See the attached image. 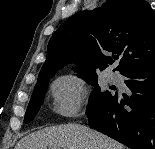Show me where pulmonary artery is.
Wrapping results in <instances>:
<instances>
[{"label": "pulmonary artery", "instance_id": "1", "mask_svg": "<svg viewBox=\"0 0 155 149\" xmlns=\"http://www.w3.org/2000/svg\"><path fill=\"white\" fill-rule=\"evenodd\" d=\"M109 78L112 82H118L119 81V75L117 73H111L109 75Z\"/></svg>", "mask_w": 155, "mask_h": 149}]
</instances>
